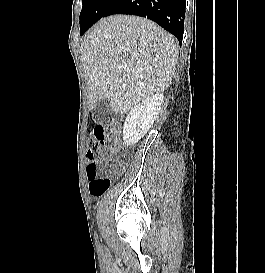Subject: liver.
I'll use <instances>...</instances> for the list:
<instances>
[{
  "instance_id": "1",
  "label": "liver",
  "mask_w": 265,
  "mask_h": 273,
  "mask_svg": "<svg viewBox=\"0 0 265 273\" xmlns=\"http://www.w3.org/2000/svg\"><path fill=\"white\" fill-rule=\"evenodd\" d=\"M80 55L88 84L89 109L107 99L116 113L123 114L169 87L178 42L153 21L113 15L101 19L87 33Z\"/></svg>"
}]
</instances>
